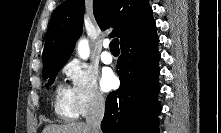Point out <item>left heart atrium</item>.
Wrapping results in <instances>:
<instances>
[{"label": "left heart atrium", "instance_id": "obj_1", "mask_svg": "<svg viewBox=\"0 0 221 133\" xmlns=\"http://www.w3.org/2000/svg\"><path fill=\"white\" fill-rule=\"evenodd\" d=\"M116 84V77L111 70H107L103 73L101 79L102 88L106 91L112 89Z\"/></svg>", "mask_w": 221, "mask_h": 133}]
</instances>
